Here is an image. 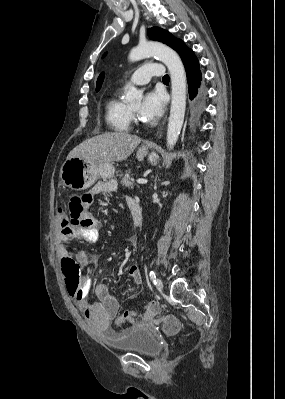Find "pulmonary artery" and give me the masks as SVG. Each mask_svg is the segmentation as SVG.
Returning <instances> with one entry per match:
<instances>
[{
  "label": "pulmonary artery",
  "instance_id": "obj_1",
  "mask_svg": "<svg viewBox=\"0 0 285 399\" xmlns=\"http://www.w3.org/2000/svg\"><path fill=\"white\" fill-rule=\"evenodd\" d=\"M165 76L164 66L161 63L148 62L138 68L130 77V81L137 85H143L152 77L163 78Z\"/></svg>",
  "mask_w": 285,
  "mask_h": 399
}]
</instances>
